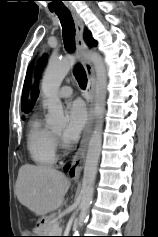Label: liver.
I'll return each instance as SVG.
<instances>
[{
  "mask_svg": "<svg viewBox=\"0 0 158 237\" xmlns=\"http://www.w3.org/2000/svg\"><path fill=\"white\" fill-rule=\"evenodd\" d=\"M70 187L66 176L51 167L24 164L15 185L19 202L37 216L58 210Z\"/></svg>",
  "mask_w": 158,
  "mask_h": 237,
  "instance_id": "1",
  "label": "liver"
}]
</instances>
